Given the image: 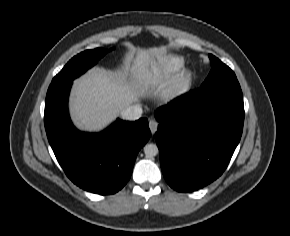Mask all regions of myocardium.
Returning a JSON list of instances; mask_svg holds the SVG:
<instances>
[{"mask_svg":"<svg viewBox=\"0 0 290 236\" xmlns=\"http://www.w3.org/2000/svg\"><path fill=\"white\" fill-rule=\"evenodd\" d=\"M191 83V72L187 69L181 71L175 78L172 85L165 92L166 100L171 101L183 93Z\"/></svg>","mask_w":290,"mask_h":236,"instance_id":"myocardium-1","label":"myocardium"}]
</instances>
